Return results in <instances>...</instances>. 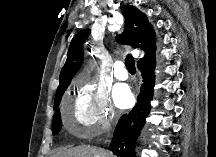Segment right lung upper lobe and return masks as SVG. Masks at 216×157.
Masks as SVG:
<instances>
[{"mask_svg": "<svg viewBox=\"0 0 216 157\" xmlns=\"http://www.w3.org/2000/svg\"><path fill=\"white\" fill-rule=\"evenodd\" d=\"M122 13L125 18L124 31L116 37V40L119 43L128 44L144 50L145 55L138 61V64L153 58L156 53L155 32L145 14L132 5L124 6ZM89 34L90 30L85 29L77 33L72 39L67 53V60L60 73L56 96L63 89H67L71 79L82 65V45Z\"/></svg>", "mask_w": 216, "mask_h": 157, "instance_id": "right-lung-upper-lobe-1", "label": "right lung upper lobe"}]
</instances>
